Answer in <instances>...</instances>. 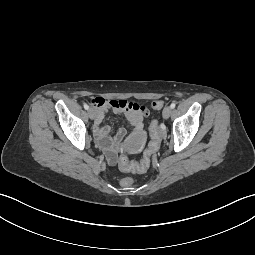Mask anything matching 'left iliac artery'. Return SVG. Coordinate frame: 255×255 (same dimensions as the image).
I'll use <instances>...</instances> for the list:
<instances>
[{
    "instance_id": "left-iliac-artery-1",
    "label": "left iliac artery",
    "mask_w": 255,
    "mask_h": 255,
    "mask_svg": "<svg viewBox=\"0 0 255 255\" xmlns=\"http://www.w3.org/2000/svg\"><path fill=\"white\" fill-rule=\"evenodd\" d=\"M175 106H176V104H175V103H171V105H170V107H171L172 109H174V108H175Z\"/></svg>"
}]
</instances>
